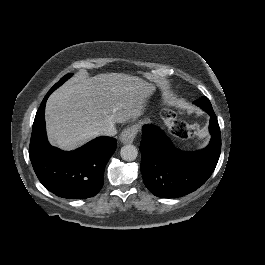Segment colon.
<instances>
[{
  "mask_svg": "<svg viewBox=\"0 0 265 265\" xmlns=\"http://www.w3.org/2000/svg\"><path fill=\"white\" fill-rule=\"evenodd\" d=\"M163 116L172 132L179 137L186 138L194 136L198 134L200 130L198 125H189L184 121L177 119L176 115L171 111H165Z\"/></svg>",
  "mask_w": 265,
  "mask_h": 265,
  "instance_id": "5ec220e1",
  "label": "colon"
}]
</instances>
